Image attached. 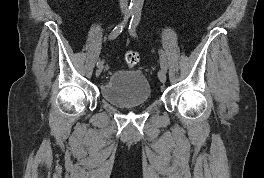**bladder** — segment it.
I'll list each match as a JSON object with an SVG mask.
<instances>
[{"label": "bladder", "instance_id": "1", "mask_svg": "<svg viewBox=\"0 0 264 178\" xmlns=\"http://www.w3.org/2000/svg\"><path fill=\"white\" fill-rule=\"evenodd\" d=\"M101 97L118 108H131L150 100L151 87L139 71L117 70L101 85Z\"/></svg>", "mask_w": 264, "mask_h": 178}]
</instances>
